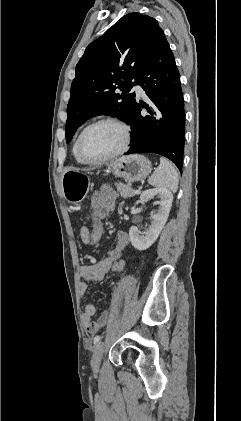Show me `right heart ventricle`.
<instances>
[{
	"instance_id": "1",
	"label": "right heart ventricle",
	"mask_w": 241,
	"mask_h": 421,
	"mask_svg": "<svg viewBox=\"0 0 241 421\" xmlns=\"http://www.w3.org/2000/svg\"><path fill=\"white\" fill-rule=\"evenodd\" d=\"M79 135H80V133L78 134V136L76 137V139H75V141H74V143H73V146H72V153H73V156H74L75 160H76L78 163H80V164H84V162H83V161L81 160V158L79 157V155H78V151H77V142H78Z\"/></svg>"
}]
</instances>
